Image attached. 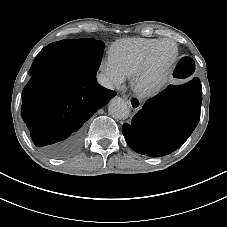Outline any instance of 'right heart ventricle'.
Returning <instances> with one entry per match:
<instances>
[{"instance_id": "1", "label": "right heart ventricle", "mask_w": 227, "mask_h": 227, "mask_svg": "<svg viewBox=\"0 0 227 227\" xmlns=\"http://www.w3.org/2000/svg\"><path fill=\"white\" fill-rule=\"evenodd\" d=\"M159 40L138 37L118 40L111 47L109 58L130 74Z\"/></svg>"}]
</instances>
